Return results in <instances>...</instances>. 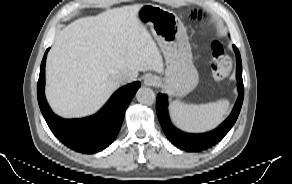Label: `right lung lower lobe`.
I'll use <instances>...</instances> for the list:
<instances>
[{
  "label": "right lung lower lobe",
  "instance_id": "1",
  "mask_svg": "<svg viewBox=\"0 0 292 184\" xmlns=\"http://www.w3.org/2000/svg\"><path fill=\"white\" fill-rule=\"evenodd\" d=\"M48 51V50H47ZM41 63L40 76L37 85L38 101L42 114L53 133L65 145L84 153H93L106 148L114 140L120 130L124 112L136 90L140 87V82H134L119 89L109 100L106 106L96 115L81 120H62L54 114H47L41 98L44 87L45 60L46 54ZM44 102L45 96L43 93ZM54 116L60 122H57ZM67 133V139L59 133Z\"/></svg>",
  "mask_w": 292,
  "mask_h": 184
}]
</instances>
